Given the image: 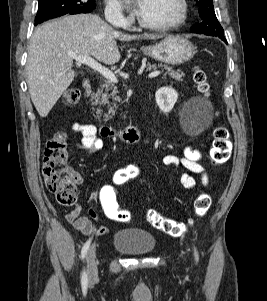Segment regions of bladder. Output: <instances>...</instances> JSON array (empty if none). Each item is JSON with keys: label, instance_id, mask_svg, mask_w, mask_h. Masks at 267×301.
<instances>
[{"label": "bladder", "instance_id": "bladder-1", "mask_svg": "<svg viewBox=\"0 0 267 301\" xmlns=\"http://www.w3.org/2000/svg\"><path fill=\"white\" fill-rule=\"evenodd\" d=\"M113 247L125 254L139 256L152 253L156 248L155 237L146 230L124 228L113 237Z\"/></svg>", "mask_w": 267, "mask_h": 301}]
</instances>
